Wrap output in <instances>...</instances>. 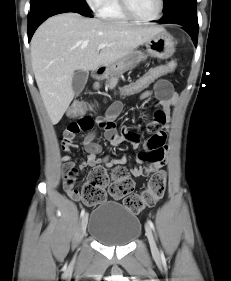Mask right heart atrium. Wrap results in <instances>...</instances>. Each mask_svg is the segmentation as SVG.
Instances as JSON below:
<instances>
[{
	"label": "right heart atrium",
	"instance_id": "obj_1",
	"mask_svg": "<svg viewBox=\"0 0 231 281\" xmlns=\"http://www.w3.org/2000/svg\"><path fill=\"white\" fill-rule=\"evenodd\" d=\"M87 5L95 12H99L106 0H85Z\"/></svg>",
	"mask_w": 231,
	"mask_h": 281
}]
</instances>
